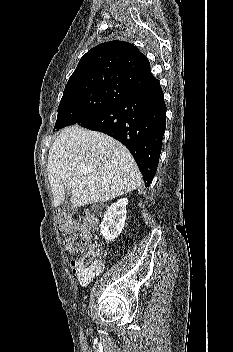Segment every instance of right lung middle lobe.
Here are the masks:
<instances>
[{
	"label": "right lung middle lobe",
	"instance_id": "dd1d6c3e",
	"mask_svg": "<svg viewBox=\"0 0 233 352\" xmlns=\"http://www.w3.org/2000/svg\"><path fill=\"white\" fill-rule=\"evenodd\" d=\"M132 88L107 84L78 88L63 94L55 128L81 123L134 94Z\"/></svg>",
	"mask_w": 233,
	"mask_h": 352
}]
</instances>
